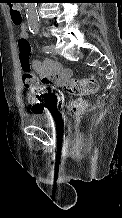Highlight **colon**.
<instances>
[{
    "label": "colon",
    "instance_id": "5ec220e1",
    "mask_svg": "<svg viewBox=\"0 0 122 218\" xmlns=\"http://www.w3.org/2000/svg\"><path fill=\"white\" fill-rule=\"evenodd\" d=\"M10 15L13 24L20 28L22 26V10L15 0L10 2ZM17 44L20 64L23 71V85L30 89L36 97L46 96L48 94L47 85L41 83L32 71L33 66L30 60L31 45L27 34L19 32ZM98 86L99 81L94 77L68 79L65 82V89L67 92L80 97L95 93ZM86 106L85 100L79 98L68 104L66 114L70 119H76L85 110ZM32 110L40 111L41 108L37 105H33Z\"/></svg>",
    "mask_w": 122,
    "mask_h": 218
}]
</instances>
